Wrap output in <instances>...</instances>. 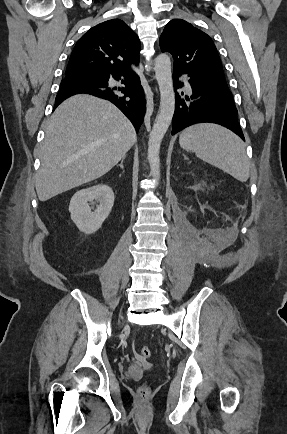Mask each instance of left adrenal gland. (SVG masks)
Instances as JSON below:
<instances>
[{
  "mask_svg": "<svg viewBox=\"0 0 287 434\" xmlns=\"http://www.w3.org/2000/svg\"><path fill=\"white\" fill-rule=\"evenodd\" d=\"M183 156H184V159H187L185 155H183Z\"/></svg>",
  "mask_w": 287,
  "mask_h": 434,
  "instance_id": "left-adrenal-gland-1",
  "label": "left adrenal gland"
}]
</instances>
